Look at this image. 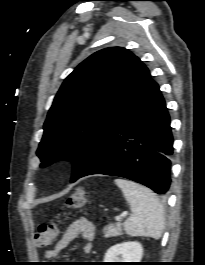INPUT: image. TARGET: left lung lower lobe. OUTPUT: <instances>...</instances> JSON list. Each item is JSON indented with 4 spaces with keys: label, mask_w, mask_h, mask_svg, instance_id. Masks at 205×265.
I'll list each match as a JSON object with an SVG mask.
<instances>
[{
    "label": "left lung lower lobe",
    "mask_w": 205,
    "mask_h": 265,
    "mask_svg": "<svg viewBox=\"0 0 205 265\" xmlns=\"http://www.w3.org/2000/svg\"><path fill=\"white\" fill-rule=\"evenodd\" d=\"M173 138L158 84L149 80L143 94L77 179L105 174L141 183L158 194L170 186Z\"/></svg>",
    "instance_id": "0a47b994"
}]
</instances>
